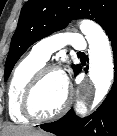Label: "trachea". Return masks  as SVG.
Returning a JSON list of instances; mask_svg holds the SVG:
<instances>
[{
	"label": "trachea",
	"instance_id": "obj_1",
	"mask_svg": "<svg viewBox=\"0 0 117 136\" xmlns=\"http://www.w3.org/2000/svg\"><path fill=\"white\" fill-rule=\"evenodd\" d=\"M78 54H84L83 52H79Z\"/></svg>",
	"mask_w": 117,
	"mask_h": 136
}]
</instances>
